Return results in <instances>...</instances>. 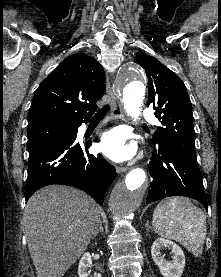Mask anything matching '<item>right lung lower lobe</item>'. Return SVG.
<instances>
[{"label": "right lung lower lobe", "instance_id": "1", "mask_svg": "<svg viewBox=\"0 0 221 277\" xmlns=\"http://www.w3.org/2000/svg\"><path fill=\"white\" fill-rule=\"evenodd\" d=\"M88 121L67 123L72 132L30 152L26 201L44 186L61 184L79 188L103 205L104 195L116 178V170L103 158L89 155L91 141L76 142L78 127Z\"/></svg>", "mask_w": 221, "mask_h": 277}]
</instances>
